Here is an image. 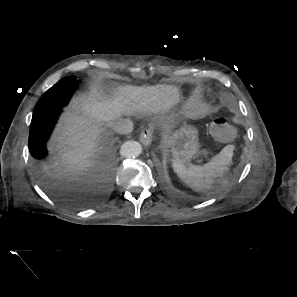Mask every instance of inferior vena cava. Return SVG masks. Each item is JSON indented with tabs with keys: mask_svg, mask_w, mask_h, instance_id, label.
<instances>
[{
	"mask_svg": "<svg viewBox=\"0 0 297 297\" xmlns=\"http://www.w3.org/2000/svg\"><path fill=\"white\" fill-rule=\"evenodd\" d=\"M110 127L119 134H129L133 130V123L129 119H120L110 123Z\"/></svg>",
	"mask_w": 297,
	"mask_h": 297,
	"instance_id": "obj_1",
	"label": "inferior vena cava"
}]
</instances>
